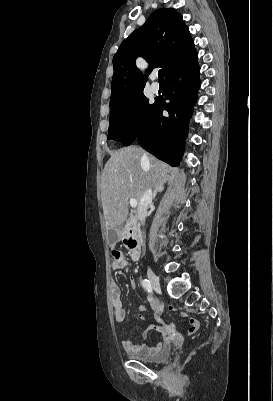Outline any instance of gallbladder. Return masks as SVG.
Instances as JSON below:
<instances>
[{
    "label": "gallbladder",
    "instance_id": "1",
    "mask_svg": "<svg viewBox=\"0 0 273 401\" xmlns=\"http://www.w3.org/2000/svg\"><path fill=\"white\" fill-rule=\"evenodd\" d=\"M107 232H108V239H109L108 244L110 246H113L115 243H118V241H120V237L118 235L119 229L117 227H114V228L109 227L107 229Z\"/></svg>",
    "mask_w": 273,
    "mask_h": 401
}]
</instances>
